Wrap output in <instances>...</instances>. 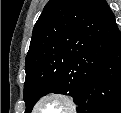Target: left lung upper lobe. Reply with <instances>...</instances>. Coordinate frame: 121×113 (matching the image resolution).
Listing matches in <instances>:
<instances>
[{
	"instance_id": "1",
	"label": "left lung upper lobe",
	"mask_w": 121,
	"mask_h": 113,
	"mask_svg": "<svg viewBox=\"0 0 121 113\" xmlns=\"http://www.w3.org/2000/svg\"><path fill=\"white\" fill-rule=\"evenodd\" d=\"M119 33L105 0H50L38 18L25 61V113L50 93L76 102Z\"/></svg>"
}]
</instances>
